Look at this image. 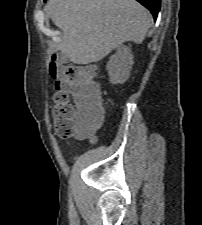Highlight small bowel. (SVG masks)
Wrapping results in <instances>:
<instances>
[{
    "label": "small bowel",
    "instance_id": "small-bowel-1",
    "mask_svg": "<svg viewBox=\"0 0 202 225\" xmlns=\"http://www.w3.org/2000/svg\"><path fill=\"white\" fill-rule=\"evenodd\" d=\"M84 66L87 70L93 69V65L90 64V63H87ZM77 105H78V116H79L80 120L84 124L93 125L94 120H93L92 116H90L89 113H88L86 103L82 100H79Z\"/></svg>",
    "mask_w": 202,
    "mask_h": 225
}]
</instances>
